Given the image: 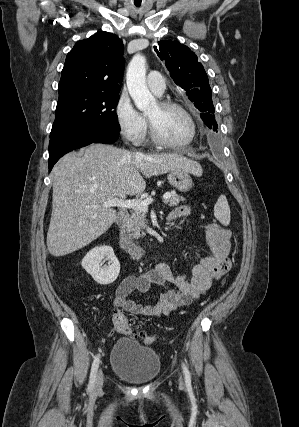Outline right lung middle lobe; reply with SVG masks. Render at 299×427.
Returning <instances> with one entry per match:
<instances>
[{
    "label": "right lung middle lobe",
    "mask_w": 299,
    "mask_h": 427,
    "mask_svg": "<svg viewBox=\"0 0 299 427\" xmlns=\"http://www.w3.org/2000/svg\"><path fill=\"white\" fill-rule=\"evenodd\" d=\"M118 93L84 92L58 100L50 138L72 129L119 132Z\"/></svg>",
    "instance_id": "dd1d6c3e"
}]
</instances>
